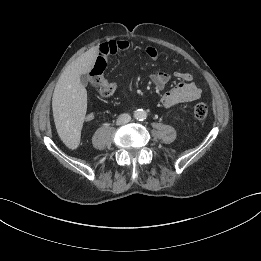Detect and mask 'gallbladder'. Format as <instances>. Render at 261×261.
<instances>
[{"mask_svg":"<svg viewBox=\"0 0 261 261\" xmlns=\"http://www.w3.org/2000/svg\"><path fill=\"white\" fill-rule=\"evenodd\" d=\"M80 81L83 85H85L88 81V75L87 74L80 75Z\"/></svg>","mask_w":261,"mask_h":261,"instance_id":"gallbladder-1","label":"gallbladder"}]
</instances>
